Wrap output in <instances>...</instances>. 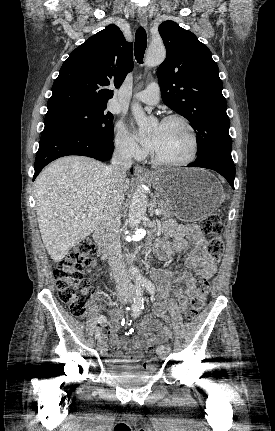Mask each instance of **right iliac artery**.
Wrapping results in <instances>:
<instances>
[{"mask_svg":"<svg viewBox=\"0 0 275 431\" xmlns=\"http://www.w3.org/2000/svg\"><path fill=\"white\" fill-rule=\"evenodd\" d=\"M144 307V298H143V290L141 285H138L136 288V296L132 305V316L134 318L138 317L141 313V310ZM98 323L103 324L106 322V317L104 315L98 316Z\"/></svg>","mask_w":275,"mask_h":431,"instance_id":"obj_1","label":"right iliac artery"}]
</instances>
